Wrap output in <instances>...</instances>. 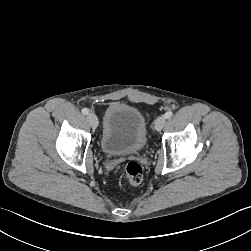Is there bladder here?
Segmentation results:
<instances>
[{
    "label": "bladder",
    "instance_id": "31cf9c89",
    "mask_svg": "<svg viewBox=\"0 0 251 251\" xmlns=\"http://www.w3.org/2000/svg\"><path fill=\"white\" fill-rule=\"evenodd\" d=\"M147 124L137 108L121 102L108 105L103 115L99 146L109 156L135 154L147 144Z\"/></svg>",
    "mask_w": 251,
    "mask_h": 251
}]
</instances>
